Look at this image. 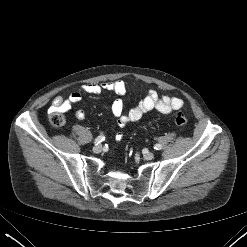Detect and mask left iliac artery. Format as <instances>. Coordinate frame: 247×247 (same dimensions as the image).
Segmentation results:
<instances>
[{"label": "left iliac artery", "instance_id": "left-iliac-artery-1", "mask_svg": "<svg viewBox=\"0 0 247 247\" xmlns=\"http://www.w3.org/2000/svg\"><path fill=\"white\" fill-rule=\"evenodd\" d=\"M154 149H155V150H161V149H162V146H161L160 144H156V145L154 146Z\"/></svg>", "mask_w": 247, "mask_h": 247}]
</instances>
